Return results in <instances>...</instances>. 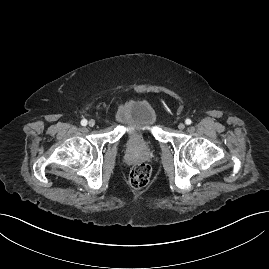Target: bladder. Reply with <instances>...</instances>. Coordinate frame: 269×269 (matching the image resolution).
Returning a JSON list of instances; mask_svg holds the SVG:
<instances>
[{
	"mask_svg": "<svg viewBox=\"0 0 269 269\" xmlns=\"http://www.w3.org/2000/svg\"><path fill=\"white\" fill-rule=\"evenodd\" d=\"M125 134L135 137L150 133L157 121L152 105L146 100H134L126 103L118 112Z\"/></svg>",
	"mask_w": 269,
	"mask_h": 269,
	"instance_id": "obj_1",
	"label": "bladder"
}]
</instances>
